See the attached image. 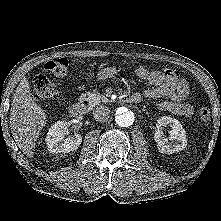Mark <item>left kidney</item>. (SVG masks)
Instances as JSON below:
<instances>
[{"label": "left kidney", "mask_w": 221, "mask_h": 221, "mask_svg": "<svg viewBox=\"0 0 221 221\" xmlns=\"http://www.w3.org/2000/svg\"><path fill=\"white\" fill-rule=\"evenodd\" d=\"M156 126L157 131L154 134V138L161 153L172 154L186 148V131L177 119L163 116L157 120ZM162 126L171 127L168 138L163 137L161 131Z\"/></svg>", "instance_id": "obj_1"}]
</instances>
